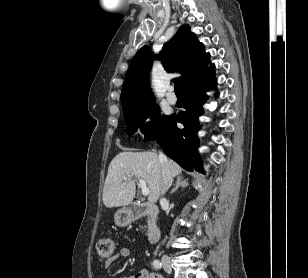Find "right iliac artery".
Instances as JSON below:
<instances>
[{"instance_id":"obj_1","label":"right iliac artery","mask_w":308,"mask_h":278,"mask_svg":"<svg viewBox=\"0 0 308 278\" xmlns=\"http://www.w3.org/2000/svg\"><path fill=\"white\" fill-rule=\"evenodd\" d=\"M153 266L155 269H161L162 268V263L159 260H154L153 261Z\"/></svg>"}]
</instances>
